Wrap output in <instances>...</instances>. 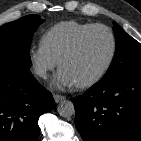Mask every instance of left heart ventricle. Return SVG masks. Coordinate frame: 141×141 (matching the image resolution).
I'll use <instances>...</instances> for the list:
<instances>
[{
    "label": "left heart ventricle",
    "mask_w": 141,
    "mask_h": 141,
    "mask_svg": "<svg viewBox=\"0 0 141 141\" xmlns=\"http://www.w3.org/2000/svg\"><path fill=\"white\" fill-rule=\"evenodd\" d=\"M110 50L109 34L102 29L94 30L83 39L76 52L63 62L61 69L67 72L75 84L82 83L101 70Z\"/></svg>",
    "instance_id": "b2bd125f"
}]
</instances>
